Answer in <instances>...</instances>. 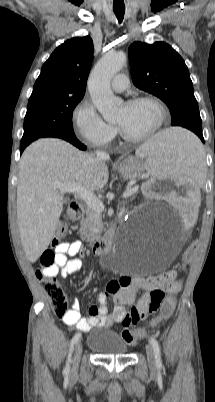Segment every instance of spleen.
<instances>
[{"mask_svg":"<svg viewBox=\"0 0 215 402\" xmlns=\"http://www.w3.org/2000/svg\"><path fill=\"white\" fill-rule=\"evenodd\" d=\"M204 144L191 128H165L137 150L147 157L144 166L151 175H179L187 182H202Z\"/></svg>","mask_w":215,"mask_h":402,"instance_id":"spleen-1","label":"spleen"}]
</instances>
